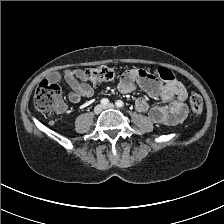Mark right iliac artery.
<instances>
[{
  "label": "right iliac artery",
  "instance_id": "right-iliac-artery-1",
  "mask_svg": "<svg viewBox=\"0 0 224 224\" xmlns=\"http://www.w3.org/2000/svg\"><path fill=\"white\" fill-rule=\"evenodd\" d=\"M109 103V100L107 99V98H103L102 100H101V104L102 105H107Z\"/></svg>",
  "mask_w": 224,
  "mask_h": 224
}]
</instances>
